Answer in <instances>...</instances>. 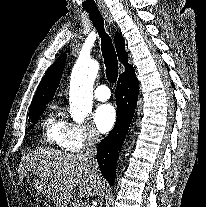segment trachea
Here are the masks:
<instances>
[{
  "instance_id": "trachea-1",
  "label": "trachea",
  "mask_w": 206,
  "mask_h": 207,
  "mask_svg": "<svg viewBox=\"0 0 206 207\" xmlns=\"http://www.w3.org/2000/svg\"><path fill=\"white\" fill-rule=\"evenodd\" d=\"M101 37V48L106 66V77L110 83H116L118 78V60L111 38L106 34L103 18L99 11H87Z\"/></svg>"
}]
</instances>
